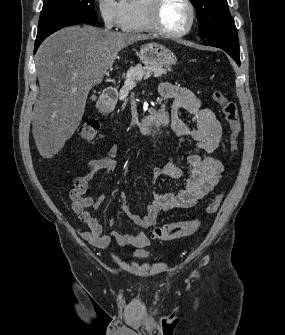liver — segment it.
Wrapping results in <instances>:
<instances>
[{
	"mask_svg": "<svg viewBox=\"0 0 285 335\" xmlns=\"http://www.w3.org/2000/svg\"><path fill=\"white\" fill-rule=\"evenodd\" d=\"M144 34H121L93 26H69L49 36L36 54L41 92L33 110V138L43 158H53L84 116L90 90L102 84L120 50Z\"/></svg>",
	"mask_w": 285,
	"mask_h": 335,
	"instance_id": "obj_1",
	"label": "liver"
}]
</instances>
